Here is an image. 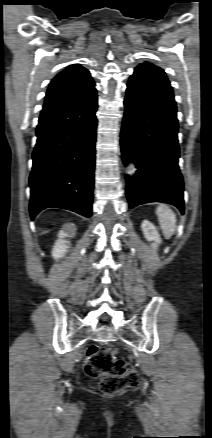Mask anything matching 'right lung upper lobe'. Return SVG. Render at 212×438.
<instances>
[{
	"label": "right lung upper lobe",
	"instance_id": "right-lung-upper-lobe-1",
	"mask_svg": "<svg viewBox=\"0 0 212 438\" xmlns=\"http://www.w3.org/2000/svg\"><path fill=\"white\" fill-rule=\"evenodd\" d=\"M95 95V83L89 71L75 64L67 67L51 81L43 109L83 102Z\"/></svg>",
	"mask_w": 212,
	"mask_h": 438
}]
</instances>
